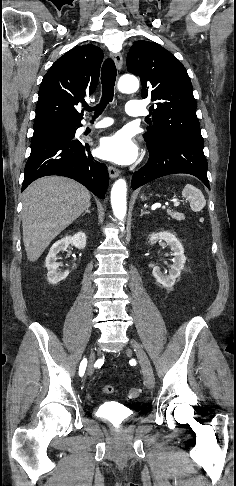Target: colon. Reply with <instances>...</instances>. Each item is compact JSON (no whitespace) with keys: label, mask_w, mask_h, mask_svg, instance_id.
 <instances>
[{"label":"colon","mask_w":236,"mask_h":486,"mask_svg":"<svg viewBox=\"0 0 236 486\" xmlns=\"http://www.w3.org/2000/svg\"><path fill=\"white\" fill-rule=\"evenodd\" d=\"M114 388L112 386H105L103 388V391L104 393L106 394H111L114 392ZM142 393V389L140 387H132L130 388V390L128 391V397L130 399H136L138 398Z\"/></svg>","instance_id":"obj_1"}]
</instances>
